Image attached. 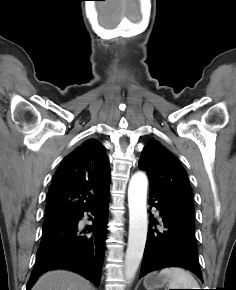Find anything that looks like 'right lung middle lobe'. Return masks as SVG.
Wrapping results in <instances>:
<instances>
[{
	"instance_id": "right-lung-middle-lobe-1",
	"label": "right lung middle lobe",
	"mask_w": 236,
	"mask_h": 290,
	"mask_svg": "<svg viewBox=\"0 0 236 290\" xmlns=\"http://www.w3.org/2000/svg\"><path fill=\"white\" fill-rule=\"evenodd\" d=\"M68 218H52V219H45V222L43 223V229H48L56 224H59L61 222L66 221Z\"/></svg>"
}]
</instances>
